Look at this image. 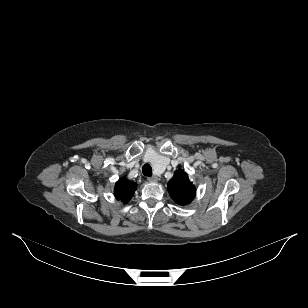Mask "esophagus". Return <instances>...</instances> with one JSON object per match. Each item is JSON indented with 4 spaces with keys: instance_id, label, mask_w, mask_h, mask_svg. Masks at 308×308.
Returning <instances> with one entry per match:
<instances>
[{
    "instance_id": "obj_1",
    "label": "esophagus",
    "mask_w": 308,
    "mask_h": 308,
    "mask_svg": "<svg viewBox=\"0 0 308 308\" xmlns=\"http://www.w3.org/2000/svg\"><path fill=\"white\" fill-rule=\"evenodd\" d=\"M147 180L149 182H157L158 181V178L156 176H151V177H148Z\"/></svg>"
}]
</instances>
